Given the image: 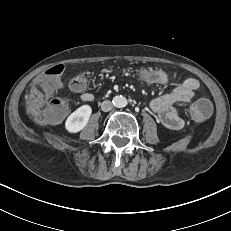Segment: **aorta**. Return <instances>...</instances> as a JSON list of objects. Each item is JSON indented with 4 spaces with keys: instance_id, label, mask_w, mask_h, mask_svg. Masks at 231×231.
Returning <instances> with one entry per match:
<instances>
[{
    "instance_id": "1",
    "label": "aorta",
    "mask_w": 231,
    "mask_h": 231,
    "mask_svg": "<svg viewBox=\"0 0 231 231\" xmlns=\"http://www.w3.org/2000/svg\"><path fill=\"white\" fill-rule=\"evenodd\" d=\"M126 98L123 97L122 95H117L113 98V104L115 107H124L126 105Z\"/></svg>"
}]
</instances>
